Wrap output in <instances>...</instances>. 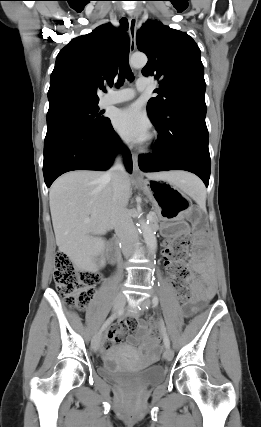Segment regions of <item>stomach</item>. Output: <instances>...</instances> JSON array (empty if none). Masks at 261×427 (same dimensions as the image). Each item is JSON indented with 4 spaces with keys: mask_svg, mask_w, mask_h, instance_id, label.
<instances>
[{
    "mask_svg": "<svg viewBox=\"0 0 261 427\" xmlns=\"http://www.w3.org/2000/svg\"><path fill=\"white\" fill-rule=\"evenodd\" d=\"M139 186L163 221L180 220L191 210V202L185 191L171 182L150 179L139 182Z\"/></svg>",
    "mask_w": 261,
    "mask_h": 427,
    "instance_id": "obj_1",
    "label": "stomach"
}]
</instances>
